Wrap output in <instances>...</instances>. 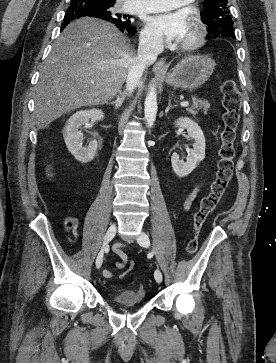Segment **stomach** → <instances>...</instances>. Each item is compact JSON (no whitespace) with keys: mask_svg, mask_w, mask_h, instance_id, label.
Instances as JSON below:
<instances>
[{"mask_svg":"<svg viewBox=\"0 0 276 363\" xmlns=\"http://www.w3.org/2000/svg\"><path fill=\"white\" fill-rule=\"evenodd\" d=\"M214 68L215 62L210 57L189 55L182 58L163 78L174 88L195 90L209 80Z\"/></svg>","mask_w":276,"mask_h":363,"instance_id":"1","label":"stomach"}]
</instances>
